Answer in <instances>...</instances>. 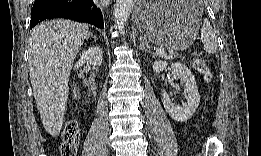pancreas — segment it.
<instances>
[{"mask_svg":"<svg viewBox=\"0 0 261 156\" xmlns=\"http://www.w3.org/2000/svg\"><path fill=\"white\" fill-rule=\"evenodd\" d=\"M163 57L167 59H173L177 57V53L170 50L168 54H165Z\"/></svg>","mask_w":261,"mask_h":156,"instance_id":"pancreas-1","label":"pancreas"}]
</instances>
